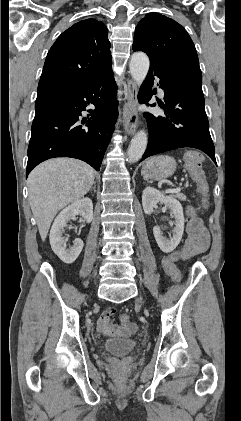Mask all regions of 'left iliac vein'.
Instances as JSON below:
<instances>
[{
  "mask_svg": "<svg viewBox=\"0 0 241 421\" xmlns=\"http://www.w3.org/2000/svg\"><path fill=\"white\" fill-rule=\"evenodd\" d=\"M137 302H140V303H142V300H141V299H138V300H137Z\"/></svg>",
  "mask_w": 241,
  "mask_h": 421,
  "instance_id": "left-iliac-vein-1",
  "label": "left iliac vein"
}]
</instances>
